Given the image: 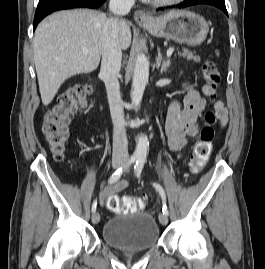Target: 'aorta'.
<instances>
[{
    "label": "aorta",
    "mask_w": 265,
    "mask_h": 269,
    "mask_svg": "<svg viewBox=\"0 0 265 269\" xmlns=\"http://www.w3.org/2000/svg\"><path fill=\"white\" fill-rule=\"evenodd\" d=\"M149 78V62L144 53H139L136 59L134 75L132 80L131 103L137 108L140 106L145 87ZM149 149V142L146 136L137 139L135 156L145 159Z\"/></svg>",
    "instance_id": "aorta-1"
}]
</instances>
